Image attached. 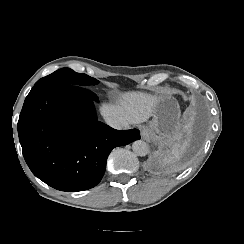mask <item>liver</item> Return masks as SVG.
Masks as SVG:
<instances>
[{"label":"liver","instance_id":"1","mask_svg":"<svg viewBox=\"0 0 244 244\" xmlns=\"http://www.w3.org/2000/svg\"><path fill=\"white\" fill-rule=\"evenodd\" d=\"M157 102V99L144 95L128 94L120 106H103L102 115L126 119L130 124H142L153 116Z\"/></svg>","mask_w":244,"mask_h":244}]
</instances>
